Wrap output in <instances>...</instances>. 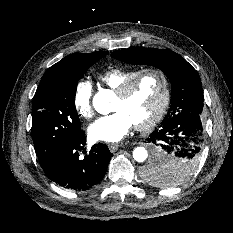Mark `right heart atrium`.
I'll use <instances>...</instances> for the list:
<instances>
[{"label":"right heart atrium","instance_id":"d8ad5b80","mask_svg":"<svg viewBox=\"0 0 233 233\" xmlns=\"http://www.w3.org/2000/svg\"><path fill=\"white\" fill-rule=\"evenodd\" d=\"M93 86L88 80L77 82L73 93V106L76 112L83 118L93 115L92 106Z\"/></svg>","mask_w":233,"mask_h":233}]
</instances>
